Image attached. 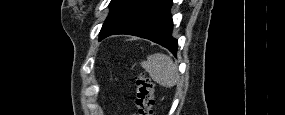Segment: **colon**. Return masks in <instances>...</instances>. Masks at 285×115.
Here are the masks:
<instances>
[{
    "label": "colon",
    "instance_id": "obj_1",
    "mask_svg": "<svg viewBox=\"0 0 285 115\" xmlns=\"http://www.w3.org/2000/svg\"><path fill=\"white\" fill-rule=\"evenodd\" d=\"M137 91L135 96V106L137 114L152 115L154 107V85L145 74H138L135 78Z\"/></svg>",
    "mask_w": 285,
    "mask_h": 115
}]
</instances>
